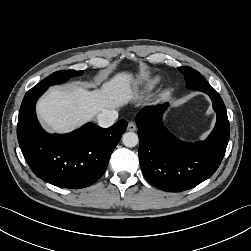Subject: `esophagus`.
Wrapping results in <instances>:
<instances>
[{"label": "esophagus", "instance_id": "34e87169", "mask_svg": "<svg viewBox=\"0 0 251 251\" xmlns=\"http://www.w3.org/2000/svg\"><path fill=\"white\" fill-rule=\"evenodd\" d=\"M136 129H137V127H136L135 122L130 121V122L128 123V130H129V131H136Z\"/></svg>", "mask_w": 251, "mask_h": 251}]
</instances>
